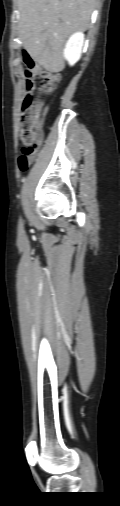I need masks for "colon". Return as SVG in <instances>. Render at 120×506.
Instances as JSON below:
<instances>
[{
  "label": "colon",
  "mask_w": 120,
  "mask_h": 506,
  "mask_svg": "<svg viewBox=\"0 0 120 506\" xmlns=\"http://www.w3.org/2000/svg\"><path fill=\"white\" fill-rule=\"evenodd\" d=\"M23 63L26 64V86L33 83L34 78L39 80V94L37 97L27 94L22 104L20 120V137L22 141L19 156V169L26 172L34 160L43 140L42 123L46 115L42 98L52 94L60 81V75L49 72L34 63V57L27 50L20 52Z\"/></svg>",
  "instance_id": "5ec220e1"
}]
</instances>
